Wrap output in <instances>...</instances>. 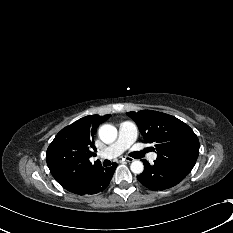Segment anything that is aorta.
<instances>
[{"label":"aorta","mask_w":233,"mask_h":233,"mask_svg":"<svg viewBox=\"0 0 233 233\" xmlns=\"http://www.w3.org/2000/svg\"><path fill=\"white\" fill-rule=\"evenodd\" d=\"M99 137L106 143L110 144L117 138V129L111 124H104L99 128ZM130 169L135 174H140L144 170V165L141 161L135 160L131 163Z\"/></svg>","instance_id":"obj_1"}]
</instances>
